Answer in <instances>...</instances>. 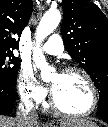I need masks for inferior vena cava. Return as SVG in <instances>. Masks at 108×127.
I'll use <instances>...</instances> for the list:
<instances>
[{
    "label": "inferior vena cava",
    "instance_id": "1",
    "mask_svg": "<svg viewBox=\"0 0 108 127\" xmlns=\"http://www.w3.org/2000/svg\"><path fill=\"white\" fill-rule=\"evenodd\" d=\"M31 95L27 94L21 98V103L18 106L17 116L24 127L30 126L31 122L38 120V115L33 112V102L30 100Z\"/></svg>",
    "mask_w": 108,
    "mask_h": 127
}]
</instances>
